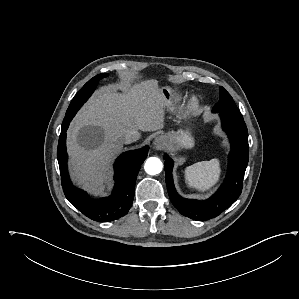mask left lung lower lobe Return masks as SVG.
Wrapping results in <instances>:
<instances>
[{
  "mask_svg": "<svg viewBox=\"0 0 299 299\" xmlns=\"http://www.w3.org/2000/svg\"><path fill=\"white\" fill-rule=\"evenodd\" d=\"M222 127L231 142L228 173L219 190L208 200L197 201L179 196L172 179V160L165 155V173L168 194L173 205L186 217L197 221H206L217 217L229 208L240 196L243 178L248 164V131L243 117L226 112H218Z\"/></svg>",
  "mask_w": 299,
  "mask_h": 299,
  "instance_id": "0a47b994",
  "label": "left lung lower lobe"
}]
</instances>
